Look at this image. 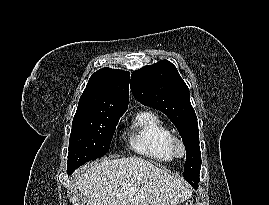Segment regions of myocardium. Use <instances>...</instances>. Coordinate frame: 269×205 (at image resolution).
<instances>
[{"instance_id": "1", "label": "myocardium", "mask_w": 269, "mask_h": 205, "mask_svg": "<svg viewBox=\"0 0 269 205\" xmlns=\"http://www.w3.org/2000/svg\"><path fill=\"white\" fill-rule=\"evenodd\" d=\"M171 149L174 155L181 157L186 153V145L184 141L177 136H173L171 139Z\"/></svg>"}]
</instances>
